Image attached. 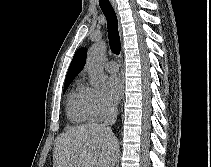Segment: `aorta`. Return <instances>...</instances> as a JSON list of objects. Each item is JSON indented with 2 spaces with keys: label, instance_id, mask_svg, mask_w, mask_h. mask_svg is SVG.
<instances>
[{
  "label": "aorta",
  "instance_id": "obj_1",
  "mask_svg": "<svg viewBox=\"0 0 211 167\" xmlns=\"http://www.w3.org/2000/svg\"><path fill=\"white\" fill-rule=\"evenodd\" d=\"M106 53L104 42L93 45L88 54L87 67L91 75V84L98 87L104 81L103 60Z\"/></svg>",
  "mask_w": 211,
  "mask_h": 167
}]
</instances>
